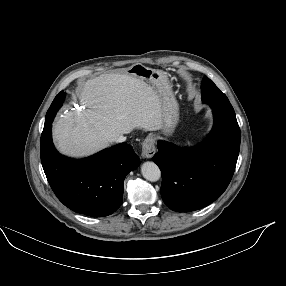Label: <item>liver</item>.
I'll use <instances>...</instances> for the list:
<instances>
[{
  "instance_id": "obj_1",
  "label": "liver",
  "mask_w": 286,
  "mask_h": 286,
  "mask_svg": "<svg viewBox=\"0 0 286 286\" xmlns=\"http://www.w3.org/2000/svg\"><path fill=\"white\" fill-rule=\"evenodd\" d=\"M125 71L103 74L84 83L79 99L87 110L69 111L54 123V140L61 153L84 157L135 128H163L160 95Z\"/></svg>"
}]
</instances>
